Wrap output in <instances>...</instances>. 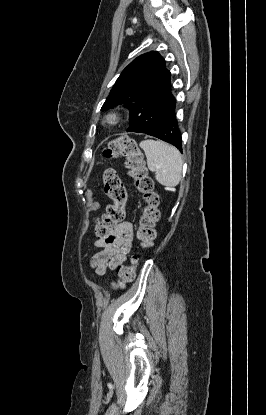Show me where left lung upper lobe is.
<instances>
[{
	"instance_id": "1",
	"label": "left lung upper lobe",
	"mask_w": 266,
	"mask_h": 415,
	"mask_svg": "<svg viewBox=\"0 0 266 415\" xmlns=\"http://www.w3.org/2000/svg\"><path fill=\"white\" fill-rule=\"evenodd\" d=\"M165 64L158 52L137 57L122 71L101 110L124 104L130 110L128 132L144 133L159 125L176 104Z\"/></svg>"
}]
</instances>
